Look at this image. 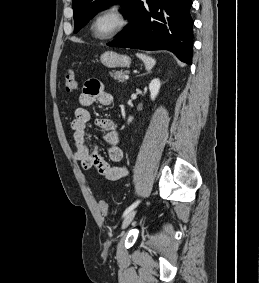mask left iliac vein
I'll list each match as a JSON object with an SVG mask.
<instances>
[{"instance_id": "1", "label": "left iliac vein", "mask_w": 259, "mask_h": 283, "mask_svg": "<svg viewBox=\"0 0 259 283\" xmlns=\"http://www.w3.org/2000/svg\"><path fill=\"white\" fill-rule=\"evenodd\" d=\"M137 210H132L130 211L124 218L123 222H122V229H125L129 226V224L132 222V220L134 219L135 215H136Z\"/></svg>"}]
</instances>
